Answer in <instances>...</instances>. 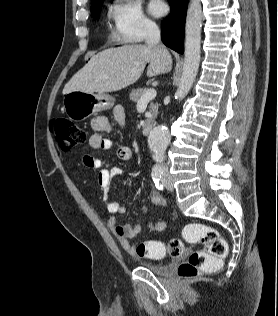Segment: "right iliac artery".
I'll use <instances>...</instances> for the list:
<instances>
[{
	"instance_id": "right-iliac-artery-1",
	"label": "right iliac artery",
	"mask_w": 278,
	"mask_h": 316,
	"mask_svg": "<svg viewBox=\"0 0 278 316\" xmlns=\"http://www.w3.org/2000/svg\"><path fill=\"white\" fill-rule=\"evenodd\" d=\"M163 170L161 167H154L151 173L152 179L156 185V187L160 190L163 189V185L161 183Z\"/></svg>"
}]
</instances>
